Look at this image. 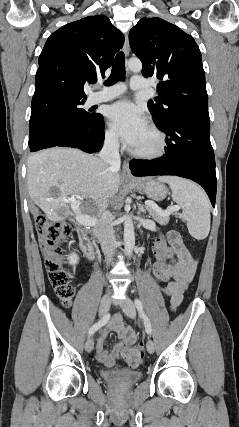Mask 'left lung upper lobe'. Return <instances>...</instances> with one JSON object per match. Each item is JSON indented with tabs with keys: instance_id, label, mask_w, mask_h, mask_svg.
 Listing matches in <instances>:
<instances>
[{
	"instance_id": "left-lung-upper-lobe-1",
	"label": "left lung upper lobe",
	"mask_w": 239,
	"mask_h": 427,
	"mask_svg": "<svg viewBox=\"0 0 239 427\" xmlns=\"http://www.w3.org/2000/svg\"><path fill=\"white\" fill-rule=\"evenodd\" d=\"M129 42L142 74L160 80L158 97L148 102L155 123L175 115L209 119L201 53L190 35L163 19L143 18L130 30Z\"/></svg>"
}]
</instances>
